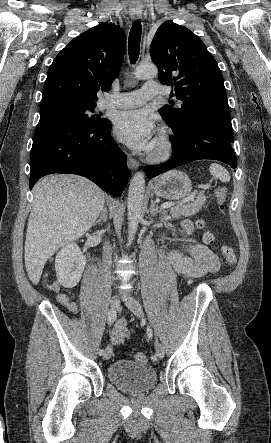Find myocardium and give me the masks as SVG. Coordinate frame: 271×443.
<instances>
[{
  "mask_svg": "<svg viewBox=\"0 0 271 443\" xmlns=\"http://www.w3.org/2000/svg\"><path fill=\"white\" fill-rule=\"evenodd\" d=\"M156 145L152 147L149 158L152 161L160 162L169 159L175 150V144L171 132L167 129H160L155 138Z\"/></svg>",
  "mask_w": 271,
  "mask_h": 443,
  "instance_id": "f54148a6",
  "label": "myocardium"
}]
</instances>
